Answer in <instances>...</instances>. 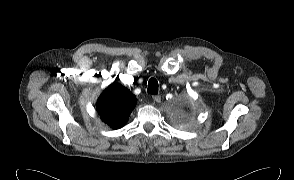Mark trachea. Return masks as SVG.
I'll return each mask as SVG.
<instances>
[{"instance_id":"trachea-1","label":"trachea","mask_w":294,"mask_h":180,"mask_svg":"<svg viewBox=\"0 0 294 180\" xmlns=\"http://www.w3.org/2000/svg\"><path fill=\"white\" fill-rule=\"evenodd\" d=\"M148 93L158 94V82L155 78H151L148 82Z\"/></svg>"}]
</instances>
